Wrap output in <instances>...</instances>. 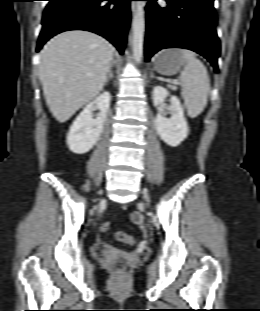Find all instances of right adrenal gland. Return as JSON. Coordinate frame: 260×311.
Listing matches in <instances>:
<instances>
[{
  "mask_svg": "<svg viewBox=\"0 0 260 311\" xmlns=\"http://www.w3.org/2000/svg\"><path fill=\"white\" fill-rule=\"evenodd\" d=\"M113 64H115V61H113L112 65H113ZM112 78H113V72L110 70V71L108 72L107 79H106L104 85H107V83L109 82V80L112 79Z\"/></svg>",
  "mask_w": 260,
  "mask_h": 311,
  "instance_id": "obj_1",
  "label": "right adrenal gland"
}]
</instances>
